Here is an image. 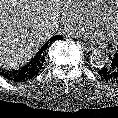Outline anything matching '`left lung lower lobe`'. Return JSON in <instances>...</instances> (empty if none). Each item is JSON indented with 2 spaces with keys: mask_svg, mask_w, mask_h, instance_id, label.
Wrapping results in <instances>:
<instances>
[{
  "mask_svg": "<svg viewBox=\"0 0 118 118\" xmlns=\"http://www.w3.org/2000/svg\"><path fill=\"white\" fill-rule=\"evenodd\" d=\"M98 74L103 80L118 84V53L109 56L108 62Z\"/></svg>",
  "mask_w": 118,
  "mask_h": 118,
  "instance_id": "0a47b994",
  "label": "left lung lower lobe"
}]
</instances>
